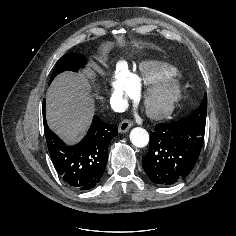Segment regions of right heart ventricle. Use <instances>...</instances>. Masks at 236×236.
<instances>
[{
	"instance_id": "e07e8e85",
	"label": "right heart ventricle",
	"mask_w": 236,
	"mask_h": 236,
	"mask_svg": "<svg viewBox=\"0 0 236 236\" xmlns=\"http://www.w3.org/2000/svg\"><path fill=\"white\" fill-rule=\"evenodd\" d=\"M130 73V82L134 91H139L143 86L165 78H179V71L167 64L146 60L141 62Z\"/></svg>"
}]
</instances>
